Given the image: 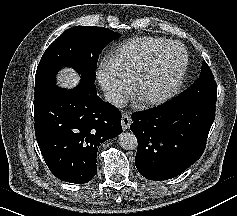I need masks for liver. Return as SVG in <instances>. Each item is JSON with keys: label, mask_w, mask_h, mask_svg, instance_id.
<instances>
[{"label": "liver", "mask_w": 237, "mask_h": 216, "mask_svg": "<svg viewBox=\"0 0 237 216\" xmlns=\"http://www.w3.org/2000/svg\"><path fill=\"white\" fill-rule=\"evenodd\" d=\"M79 81V75L72 68H64L57 75V84L62 88H74Z\"/></svg>", "instance_id": "6515ba94"}]
</instances>
